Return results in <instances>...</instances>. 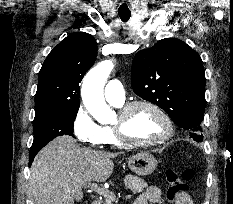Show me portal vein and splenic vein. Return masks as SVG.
Masks as SVG:
<instances>
[{
	"label": "portal vein and splenic vein",
	"instance_id": "18ae733b",
	"mask_svg": "<svg viewBox=\"0 0 233 204\" xmlns=\"http://www.w3.org/2000/svg\"><path fill=\"white\" fill-rule=\"evenodd\" d=\"M86 187H88L91 191H94L96 193H98L99 195H102L104 197H112L114 194L112 191L99 187L97 184L95 183H89L86 185ZM131 195H127L125 196V199H130Z\"/></svg>",
	"mask_w": 233,
	"mask_h": 204
}]
</instances>
